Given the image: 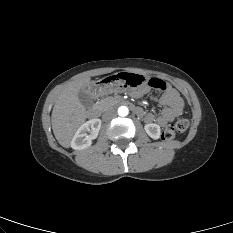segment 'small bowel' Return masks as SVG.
Instances as JSON below:
<instances>
[{"mask_svg":"<svg viewBox=\"0 0 233 233\" xmlns=\"http://www.w3.org/2000/svg\"><path fill=\"white\" fill-rule=\"evenodd\" d=\"M149 91L148 87H142L132 93L135 97H140ZM163 94L160 97H154V100L158 101L164 106L162 112L156 116L152 113L144 115V120L147 123L156 122L160 126H165L171 122L174 118L182 114L183 100L179 96L178 92L167 84V88L163 90ZM142 114V112H141Z\"/></svg>","mask_w":233,"mask_h":233,"instance_id":"1","label":"small bowel"}]
</instances>
